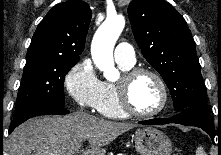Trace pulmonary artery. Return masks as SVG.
<instances>
[{
    "label": "pulmonary artery",
    "instance_id": "1",
    "mask_svg": "<svg viewBox=\"0 0 221 155\" xmlns=\"http://www.w3.org/2000/svg\"><path fill=\"white\" fill-rule=\"evenodd\" d=\"M114 58L117 63L134 65L136 61L133 47L126 42L119 43L114 51Z\"/></svg>",
    "mask_w": 221,
    "mask_h": 155
}]
</instances>
